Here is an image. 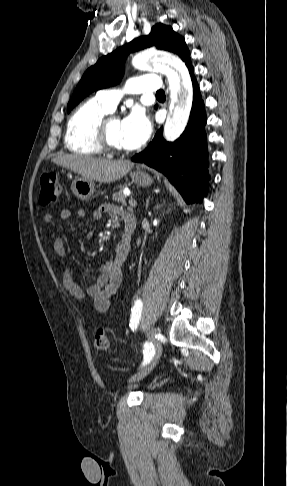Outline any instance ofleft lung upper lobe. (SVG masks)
Here are the masks:
<instances>
[{
	"label": "left lung upper lobe",
	"mask_w": 287,
	"mask_h": 486,
	"mask_svg": "<svg viewBox=\"0 0 287 486\" xmlns=\"http://www.w3.org/2000/svg\"><path fill=\"white\" fill-rule=\"evenodd\" d=\"M151 46L177 54L184 62L190 58L184 38L174 32L172 27L158 23L152 27L149 35L134 39L101 57L95 65L91 66L79 81L68 103V113L90 93L118 84L124 74V61L127 54Z\"/></svg>",
	"instance_id": "left-lung-upper-lobe-1"
}]
</instances>
